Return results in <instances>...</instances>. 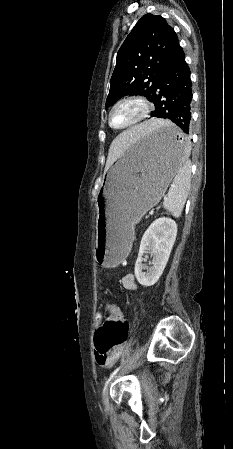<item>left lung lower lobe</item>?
Listing matches in <instances>:
<instances>
[{
    "mask_svg": "<svg viewBox=\"0 0 233 449\" xmlns=\"http://www.w3.org/2000/svg\"><path fill=\"white\" fill-rule=\"evenodd\" d=\"M155 111L151 117L169 119L182 134L162 133L159 139L166 146L181 149L189 143L191 127L192 82L183 50L161 75L152 95Z\"/></svg>",
    "mask_w": 233,
    "mask_h": 449,
    "instance_id": "0a47b994",
    "label": "left lung lower lobe"
}]
</instances>
